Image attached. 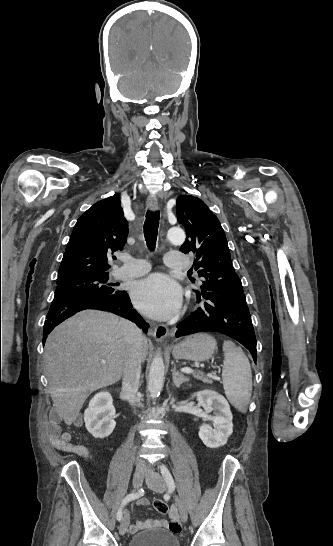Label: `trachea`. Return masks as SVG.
I'll return each mask as SVG.
<instances>
[{"instance_id":"1","label":"trachea","mask_w":333,"mask_h":546,"mask_svg":"<svg viewBox=\"0 0 333 546\" xmlns=\"http://www.w3.org/2000/svg\"><path fill=\"white\" fill-rule=\"evenodd\" d=\"M159 227V212L147 211L146 220L144 222V236L149 250L153 251L156 246L157 234Z\"/></svg>"}]
</instances>
